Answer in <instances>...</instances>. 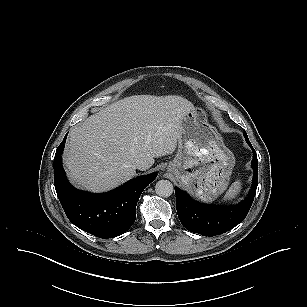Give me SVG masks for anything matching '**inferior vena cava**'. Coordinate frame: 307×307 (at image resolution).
Wrapping results in <instances>:
<instances>
[{
    "mask_svg": "<svg viewBox=\"0 0 307 307\" xmlns=\"http://www.w3.org/2000/svg\"><path fill=\"white\" fill-rule=\"evenodd\" d=\"M134 166L139 170H146L149 168V166L144 161L139 160L134 163Z\"/></svg>",
    "mask_w": 307,
    "mask_h": 307,
    "instance_id": "1",
    "label": "inferior vena cava"
}]
</instances>
